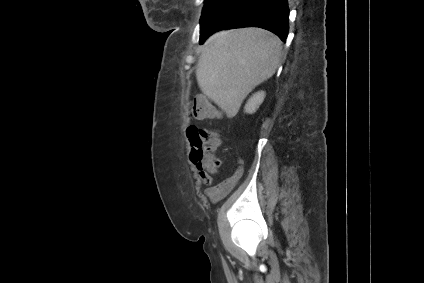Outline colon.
Listing matches in <instances>:
<instances>
[{"label": "colon", "instance_id": "obj_1", "mask_svg": "<svg viewBox=\"0 0 424 283\" xmlns=\"http://www.w3.org/2000/svg\"><path fill=\"white\" fill-rule=\"evenodd\" d=\"M190 114L196 119L204 120L217 116V111L207 99L200 97L191 104ZM188 135L193 145L191 160L194 163L217 167L218 159L215 151L222 144L220 135L211 129L197 127H191Z\"/></svg>", "mask_w": 424, "mask_h": 283}]
</instances>
